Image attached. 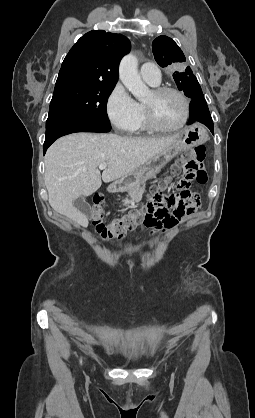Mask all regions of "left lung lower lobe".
Instances as JSON below:
<instances>
[{
    "label": "left lung lower lobe",
    "mask_w": 255,
    "mask_h": 418,
    "mask_svg": "<svg viewBox=\"0 0 255 418\" xmlns=\"http://www.w3.org/2000/svg\"><path fill=\"white\" fill-rule=\"evenodd\" d=\"M190 118L188 125L194 122H200L206 125L210 131L214 134V125L211 118L206 100L204 97L192 99L190 103Z\"/></svg>",
    "instance_id": "obj_1"
}]
</instances>
